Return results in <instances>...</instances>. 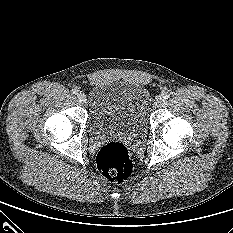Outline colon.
<instances>
[{"label": "colon", "mask_w": 233, "mask_h": 233, "mask_svg": "<svg viewBox=\"0 0 233 233\" xmlns=\"http://www.w3.org/2000/svg\"><path fill=\"white\" fill-rule=\"evenodd\" d=\"M99 172L111 182H121L132 172L133 164L127 147L120 142H109L98 152Z\"/></svg>", "instance_id": "5ec220e1"}]
</instances>
